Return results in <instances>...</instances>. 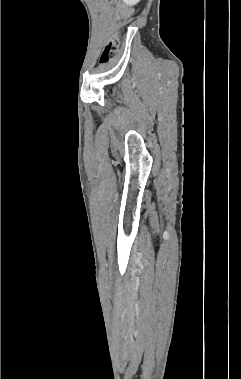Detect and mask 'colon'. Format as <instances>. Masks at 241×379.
<instances>
[{"label": "colon", "mask_w": 241, "mask_h": 379, "mask_svg": "<svg viewBox=\"0 0 241 379\" xmlns=\"http://www.w3.org/2000/svg\"><path fill=\"white\" fill-rule=\"evenodd\" d=\"M105 3L108 5H112L114 0H103ZM116 14L119 15V20H130V15L133 14V9L132 8H117L116 9ZM118 35L113 34L107 41V44L105 45V48L101 54V63L102 64H107L111 62L115 56H116V51L118 48Z\"/></svg>", "instance_id": "obj_1"}]
</instances>
